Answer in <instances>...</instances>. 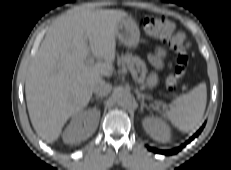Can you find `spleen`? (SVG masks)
<instances>
[{
  "label": "spleen",
  "instance_id": "obj_1",
  "mask_svg": "<svg viewBox=\"0 0 231 170\" xmlns=\"http://www.w3.org/2000/svg\"><path fill=\"white\" fill-rule=\"evenodd\" d=\"M206 100V85L201 83L189 93L175 99L163 115L181 131L196 130L202 123Z\"/></svg>",
  "mask_w": 231,
  "mask_h": 170
}]
</instances>
